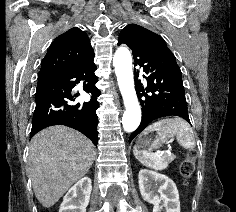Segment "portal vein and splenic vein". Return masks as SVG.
Masks as SVG:
<instances>
[{
    "label": "portal vein and splenic vein",
    "mask_w": 236,
    "mask_h": 212,
    "mask_svg": "<svg viewBox=\"0 0 236 212\" xmlns=\"http://www.w3.org/2000/svg\"><path fill=\"white\" fill-rule=\"evenodd\" d=\"M169 150H170V149H169ZM160 153H168V154H170V152H169V151H165V152L163 151V152H160Z\"/></svg>",
    "instance_id": "1"
}]
</instances>
